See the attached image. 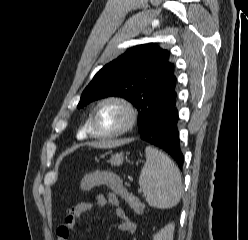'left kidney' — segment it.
Listing matches in <instances>:
<instances>
[{
  "mask_svg": "<svg viewBox=\"0 0 248 240\" xmlns=\"http://www.w3.org/2000/svg\"><path fill=\"white\" fill-rule=\"evenodd\" d=\"M175 225L170 223L153 236V240H173Z\"/></svg>",
  "mask_w": 248,
  "mask_h": 240,
  "instance_id": "5707ae66",
  "label": "left kidney"
}]
</instances>
